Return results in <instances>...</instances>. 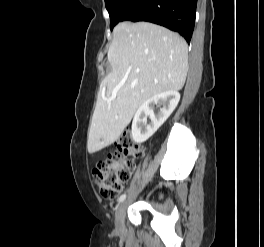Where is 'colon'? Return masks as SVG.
I'll return each mask as SVG.
<instances>
[{
	"instance_id": "5ec220e1",
	"label": "colon",
	"mask_w": 264,
	"mask_h": 247,
	"mask_svg": "<svg viewBox=\"0 0 264 247\" xmlns=\"http://www.w3.org/2000/svg\"><path fill=\"white\" fill-rule=\"evenodd\" d=\"M142 155L143 150L128 132L119 136L115 150L106 159L97 162L92 170L102 198L112 201L118 197L130 179L135 167L134 160Z\"/></svg>"
}]
</instances>
